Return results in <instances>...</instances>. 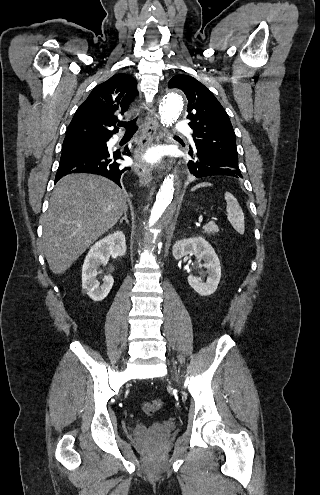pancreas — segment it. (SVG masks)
Segmentation results:
<instances>
[{
    "mask_svg": "<svg viewBox=\"0 0 320 495\" xmlns=\"http://www.w3.org/2000/svg\"><path fill=\"white\" fill-rule=\"evenodd\" d=\"M204 233H207L208 235H214L219 231L218 226L213 222H209L207 225L203 227Z\"/></svg>",
    "mask_w": 320,
    "mask_h": 495,
    "instance_id": "obj_1",
    "label": "pancreas"
}]
</instances>
